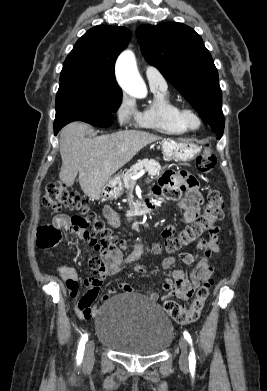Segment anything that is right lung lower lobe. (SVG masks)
<instances>
[{
    "mask_svg": "<svg viewBox=\"0 0 267 391\" xmlns=\"http://www.w3.org/2000/svg\"><path fill=\"white\" fill-rule=\"evenodd\" d=\"M60 129L57 127H54V133L57 134Z\"/></svg>",
    "mask_w": 267,
    "mask_h": 391,
    "instance_id": "1",
    "label": "right lung lower lobe"
}]
</instances>
